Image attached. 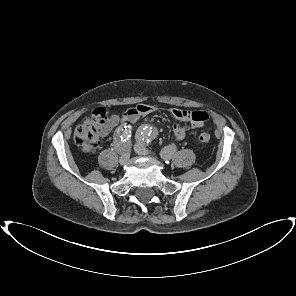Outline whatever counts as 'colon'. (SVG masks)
Wrapping results in <instances>:
<instances>
[{"instance_id": "colon-1", "label": "colon", "mask_w": 296, "mask_h": 296, "mask_svg": "<svg viewBox=\"0 0 296 296\" xmlns=\"http://www.w3.org/2000/svg\"><path fill=\"white\" fill-rule=\"evenodd\" d=\"M196 119H205V116L195 117ZM109 129V118L105 108H97L92 115L81 123L74 131V141L84 151H94L100 144V138ZM211 136L208 132H202L199 135L201 144L210 141Z\"/></svg>"}]
</instances>
